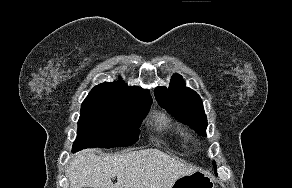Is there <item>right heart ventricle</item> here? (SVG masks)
<instances>
[{
  "label": "right heart ventricle",
  "mask_w": 292,
  "mask_h": 188,
  "mask_svg": "<svg viewBox=\"0 0 292 188\" xmlns=\"http://www.w3.org/2000/svg\"><path fill=\"white\" fill-rule=\"evenodd\" d=\"M158 119H159V121H160L161 123H163V124L168 123V119H167L165 116H160Z\"/></svg>",
  "instance_id": "obj_1"
}]
</instances>
